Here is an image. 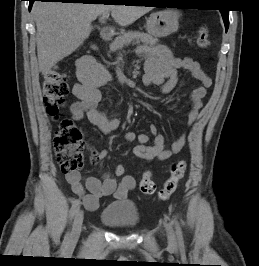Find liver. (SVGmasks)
<instances>
[{
    "label": "liver",
    "mask_w": 259,
    "mask_h": 266,
    "mask_svg": "<svg viewBox=\"0 0 259 266\" xmlns=\"http://www.w3.org/2000/svg\"><path fill=\"white\" fill-rule=\"evenodd\" d=\"M151 11L145 6L35 2L32 13L36 23L39 70L47 74L62 58L69 56L89 37L91 23L111 12L120 26H128Z\"/></svg>",
    "instance_id": "obj_1"
}]
</instances>
